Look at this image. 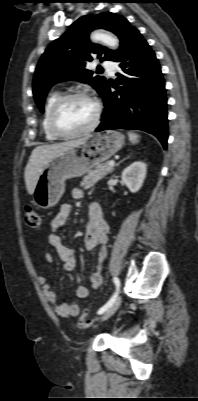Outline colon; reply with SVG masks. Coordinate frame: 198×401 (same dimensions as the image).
I'll list each match as a JSON object with an SVG mask.
<instances>
[{
	"mask_svg": "<svg viewBox=\"0 0 198 401\" xmlns=\"http://www.w3.org/2000/svg\"><path fill=\"white\" fill-rule=\"evenodd\" d=\"M25 223L28 227L39 228L41 225V216H40L39 212L32 208H27L26 214H25ZM89 322H90V318L88 315V311L85 310L80 318V323L84 324V323H89Z\"/></svg>",
	"mask_w": 198,
	"mask_h": 401,
	"instance_id": "1",
	"label": "colon"
}]
</instances>
